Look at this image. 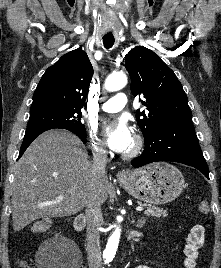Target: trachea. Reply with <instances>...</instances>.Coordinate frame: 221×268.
I'll return each instance as SVG.
<instances>
[{
  "label": "trachea",
  "instance_id": "trachea-1",
  "mask_svg": "<svg viewBox=\"0 0 221 268\" xmlns=\"http://www.w3.org/2000/svg\"><path fill=\"white\" fill-rule=\"evenodd\" d=\"M103 44L106 49H110L114 44V38H103Z\"/></svg>",
  "mask_w": 221,
  "mask_h": 268
}]
</instances>
